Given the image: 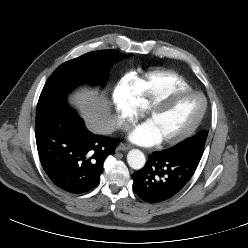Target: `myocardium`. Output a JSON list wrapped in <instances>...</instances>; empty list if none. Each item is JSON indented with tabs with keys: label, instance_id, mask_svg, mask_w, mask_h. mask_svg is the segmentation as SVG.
Wrapping results in <instances>:
<instances>
[{
	"label": "myocardium",
	"instance_id": "f54148a6",
	"mask_svg": "<svg viewBox=\"0 0 248 248\" xmlns=\"http://www.w3.org/2000/svg\"><path fill=\"white\" fill-rule=\"evenodd\" d=\"M187 95H197V96L201 97L202 102H203L202 110H201L199 116L197 117V119L193 122V124L189 128H187L185 131H183L182 133H180L177 136L161 140L160 143L162 145L171 146V145L179 144V143L183 142L184 140H186L187 138H189L198 129V127L202 123V121L205 117V114L207 112V108H208L207 98L202 92L196 91L193 89H190V90L189 89L172 90V91L168 92L167 94L154 100L147 107L145 117L148 119L151 115H153L157 111L163 109L171 102L175 101L178 98L187 96Z\"/></svg>",
	"mask_w": 248,
	"mask_h": 248
}]
</instances>
